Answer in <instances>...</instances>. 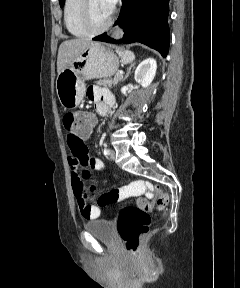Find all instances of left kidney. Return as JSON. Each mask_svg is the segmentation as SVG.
Returning <instances> with one entry per match:
<instances>
[{"instance_id": "left-kidney-1", "label": "left kidney", "mask_w": 240, "mask_h": 288, "mask_svg": "<svg viewBox=\"0 0 240 288\" xmlns=\"http://www.w3.org/2000/svg\"><path fill=\"white\" fill-rule=\"evenodd\" d=\"M157 69L156 60L147 58L142 61L136 68L134 73L135 81L147 88L153 81Z\"/></svg>"}]
</instances>
